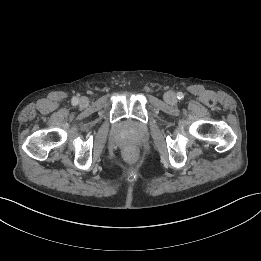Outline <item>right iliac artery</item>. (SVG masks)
Here are the masks:
<instances>
[{
    "instance_id": "82829eb1",
    "label": "right iliac artery",
    "mask_w": 261,
    "mask_h": 261,
    "mask_svg": "<svg viewBox=\"0 0 261 261\" xmlns=\"http://www.w3.org/2000/svg\"><path fill=\"white\" fill-rule=\"evenodd\" d=\"M78 102H79V99H78L77 97H73V99H72V104H73V105H77Z\"/></svg>"
}]
</instances>
